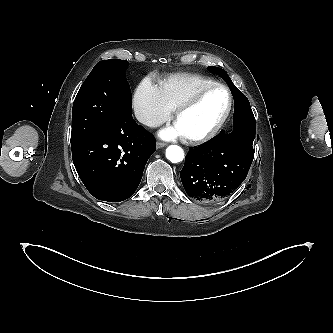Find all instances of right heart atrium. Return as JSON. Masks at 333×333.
Listing matches in <instances>:
<instances>
[{"instance_id":"d8ad5b80","label":"right heart atrium","mask_w":333,"mask_h":333,"mask_svg":"<svg viewBox=\"0 0 333 333\" xmlns=\"http://www.w3.org/2000/svg\"><path fill=\"white\" fill-rule=\"evenodd\" d=\"M136 118L147 127H157L167 121L172 113L162 97L159 87L150 80L142 81L133 97Z\"/></svg>"}]
</instances>
